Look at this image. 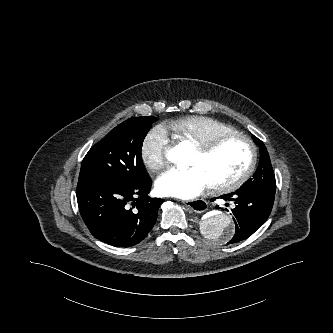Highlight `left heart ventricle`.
Masks as SVG:
<instances>
[{"instance_id":"b2bd125f","label":"left heart ventricle","mask_w":333,"mask_h":333,"mask_svg":"<svg viewBox=\"0 0 333 333\" xmlns=\"http://www.w3.org/2000/svg\"><path fill=\"white\" fill-rule=\"evenodd\" d=\"M249 161L248 145L233 140L224 143L210 155H203L196 149L189 165L200 167L213 184L237 177L247 168Z\"/></svg>"}]
</instances>
